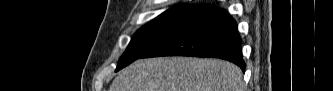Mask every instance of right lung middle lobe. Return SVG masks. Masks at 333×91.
I'll use <instances>...</instances> for the list:
<instances>
[{"label":"right lung middle lobe","mask_w":333,"mask_h":91,"mask_svg":"<svg viewBox=\"0 0 333 91\" xmlns=\"http://www.w3.org/2000/svg\"><path fill=\"white\" fill-rule=\"evenodd\" d=\"M208 6H201L204 11ZM189 20L177 18H156L141 27L132 38L129 46L122 55L116 71L126 67L141 58L151 49L169 38Z\"/></svg>","instance_id":"dd1d6c3e"}]
</instances>
